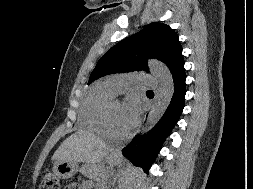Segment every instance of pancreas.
Masks as SVG:
<instances>
[{
  "label": "pancreas",
  "instance_id": "obj_1",
  "mask_svg": "<svg viewBox=\"0 0 253 189\" xmlns=\"http://www.w3.org/2000/svg\"><path fill=\"white\" fill-rule=\"evenodd\" d=\"M82 174L94 180L104 179L105 172L102 167L94 165H86L81 170Z\"/></svg>",
  "mask_w": 253,
  "mask_h": 189
}]
</instances>
